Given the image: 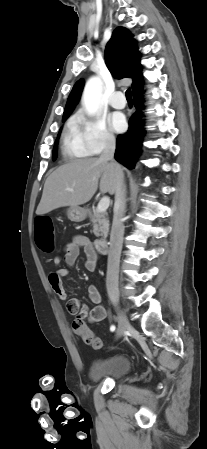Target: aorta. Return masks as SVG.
Returning a JSON list of instances; mask_svg holds the SVG:
<instances>
[{
  "instance_id": "obj_1",
  "label": "aorta",
  "mask_w": 207,
  "mask_h": 449,
  "mask_svg": "<svg viewBox=\"0 0 207 449\" xmlns=\"http://www.w3.org/2000/svg\"><path fill=\"white\" fill-rule=\"evenodd\" d=\"M82 100L89 115H94L98 111L102 100V82L98 77H92L87 81Z\"/></svg>"
}]
</instances>
